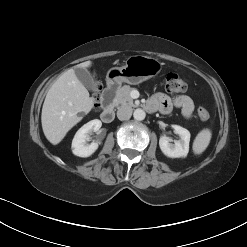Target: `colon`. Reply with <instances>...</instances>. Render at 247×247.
<instances>
[{
	"label": "colon",
	"instance_id": "obj_1",
	"mask_svg": "<svg viewBox=\"0 0 247 247\" xmlns=\"http://www.w3.org/2000/svg\"><path fill=\"white\" fill-rule=\"evenodd\" d=\"M164 85L166 90L173 93L184 92L187 89V84L184 79L177 73L169 72L164 76ZM198 116L201 120H208L210 118V112L200 107L198 109Z\"/></svg>",
	"mask_w": 247,
	"mask_h": 247
}]
</instances>
